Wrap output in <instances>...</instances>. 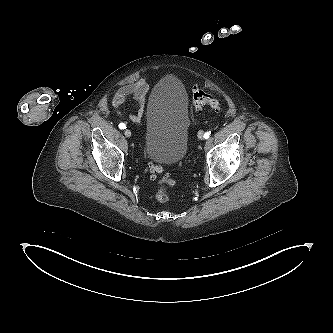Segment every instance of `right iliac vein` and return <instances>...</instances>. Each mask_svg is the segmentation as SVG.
<instances>
[{
  "label": "right iliac vein",
  "instance_id": "right-iliac-vein-1",
  "mask_svg": "<svg viewBox=\"0 0 333 333\" xmlns=\"http://www.w3.org/2000/svg\"><path fill=\"white\" fill-rule=\"evenodd\" d=\"M126 137H130L131 136V131L129 129H126L124 132Z\"/></svg>",
  "mask_w": 333,
  "mask_h": 333
}]
</instances>
